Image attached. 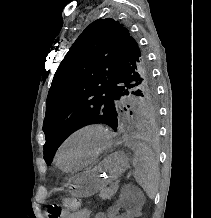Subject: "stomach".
<instances>
[{"label":"stomach","instance_id":"stomach-1","mask_svg":"<svg viewBox=\"0 0 211 218\" xmlns=\"http://www.w3.org/2000/svg\"><path fill=\"white\" fill-rule=\"evenodd\" d=\"M129 166V158L123 152H115L104 159L94 169L73 178L74 194L88 197L103 190L109 183L118 179Z\"/></svg>","mask_w":211,"mask_h":218}]
</instances>
